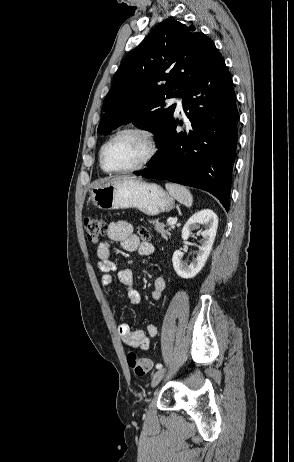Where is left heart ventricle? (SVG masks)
<instances>
[{"label": "left heart ventricle", "mask_w": 294, "mask_h": 462, "mask_svg": "<svg viewBox=\"0 0 294 462\" xmlns=\"http://www.w3.org/2000/svg\"><path fill=\"white\" fill-rule=\"evenodd\" d=\"M147 152L148 144L141 135L126 133L106 147L104 165L110 170L132 167L138 164Z\"/></svg>", "instance_id": "b2bd125f"}]
</instances>
